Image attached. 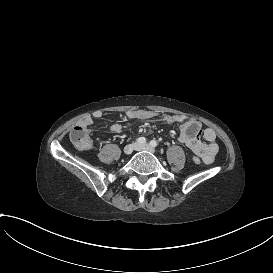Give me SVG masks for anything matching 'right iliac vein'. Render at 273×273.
I'll return each mask as SVG.
<instances>
[{
    "instance_id": "obj_1",
    "label": "right iliac vein",
    "mask_w": 273,
    "mask_h": 273,
    "mask_svg": "<svg viewBox=\"0 0 273 273\" xmlns=\"http://www.w3.org/2000/svg\"><path fill=\"white\" fill-rule=\"evenodd\" d=\"M136 146H137V144H135V143L126 145L124 148V153L126 155L131 154Z\"/></svg>"
}]
</instances>
